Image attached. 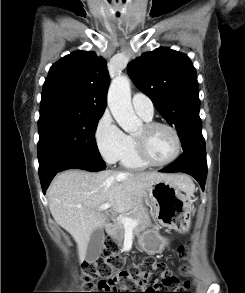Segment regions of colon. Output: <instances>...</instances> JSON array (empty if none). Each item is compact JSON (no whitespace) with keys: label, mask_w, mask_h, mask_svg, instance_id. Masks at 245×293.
Returning <instances> with one entry per match:
<instances>
[{"label":"colon","mask_w":245,"mask_h":293,"mask_svg":"<svg viewBox=\"0 0 245 293\" xmlns=\"http://www.w3.org/2000/svg\"><path fill=\"white\" fill-rule=\"evenodd\" d=\"M188 226L189 218L185 217L176 224V229L185 231ZM189 254L188 246L178 248V257L181 261L186 262ZM123 265L115 241L111 237H106L103 240V254L96 260L86 263L81 274L84 289L93 291V281L100 279L96 289L102 292L84 293H192L184 285H180L165 263L157 262L153 258H145L126 268ZM180 272L184 276L188 275L190 272L188 265L183 264ZM160 288L163 290L158 292Z\"/></svg>","instance_id":"1"}]
</instances>
